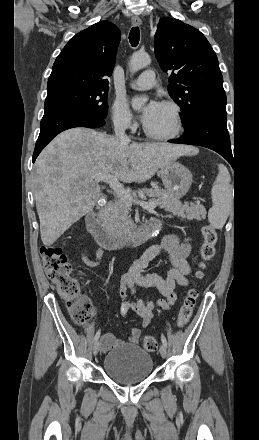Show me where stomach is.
<instances>
[{
	"instance_id": "1",
	"label": "stomach",
	"mask_w": 259,
	"mask_h": 440,
	"mask_svg": "<svg viewBox=\"0 0 259 440\" xmlns=\"http://www.w3.org/2000/svg\"><path fill=\"white\" fill-rule=\"evenodd\" d=\"M167 192L180 199L186 195L192 184V173L184 165L171 160L159 171Z\"/></svg>"
}]
</instances>
